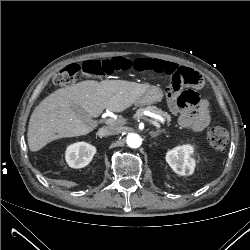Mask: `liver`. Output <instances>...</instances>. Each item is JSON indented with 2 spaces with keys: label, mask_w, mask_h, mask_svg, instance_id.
<instances>
[{
  "label": "liver",
  "mask_w": 250,
  "mask_h": 250,
  "mask_svg": "<svg viewBox=\"0 0 250 250\" xmlns=\"http://www.w3.org/2000/svg\"><path fill=\"white\" fill-rule=\"evenodd\" d=\"M149 88L124 80H86L58 89L34 109L27 132L30 151L36 152L51 141L64 137L87 135L96 126L84 123L98 117L104 109L122 112L131 107ZM73 105L82 107L87 120L78 117Z\"/></svg>",
  "instance_id": "1"
}]
</instances>
